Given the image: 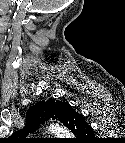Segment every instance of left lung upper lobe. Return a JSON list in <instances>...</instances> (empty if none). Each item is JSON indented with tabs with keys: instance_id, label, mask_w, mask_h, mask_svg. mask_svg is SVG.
I'll return each mask as SVG.
<instances>
[{
	"instance_id": "obj_1",
	"label": "left lung upper lobe",
	"mask_w": 125,
	"mask_h": 143,
	"mask_svg": "<svg viewBox=\"0 0 125 143\" xmlns=\"http://www.w3.org/2000/svg\"><path fill=\"white\" fill-rule=\"evenodd\" d=\"M67 102L56 101L55 99H49L46 102L40 101L31 106L27 111V124L19 132H15L11 139H26L25 137L33 132L37 128V124L40 121L47 119H56L65 124V106ZM33 123H36L33 125ZM67 126V125H66ZM76 135H90L92 128L83 119L76 124L73 123L71 127L67 126Z\"/></svg>"
}]
</instances>
